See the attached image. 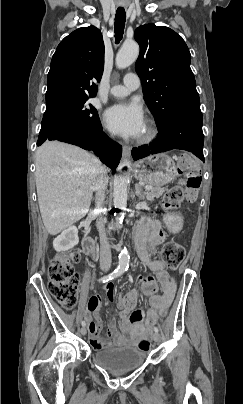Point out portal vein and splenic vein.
<instances>
[{"label": "portal vein and splenic vein", "mask_w": 243, "mask_h": 404, "mask_svg": "<svg viewBox=\"0 0 243 404\" xmlns=\"http://www.w3.org/2000/svg\"><path fill=\"white\" fill-rule=\"evenodd\" d=\"M145 190H152V186H145ZM77 194H81V192H77Z\"/></svg>", "instance_id": "1"}]
</instances>
